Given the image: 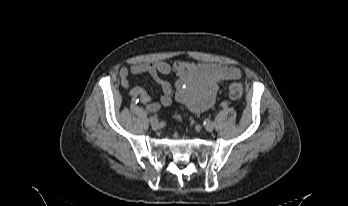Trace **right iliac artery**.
I'll return each instance as SVG.
<instances>
[{"label": "right iliac artery", "instance_id": "obj_1", "mask_svg": "<svg viewBox=\"0 0 348 206\" xmlns=\"http://www.w3.org/2000/svg\"><path fill=\"white\" fill-rule=\"evenodd\" d=\"M140 102V99L138 97H133V103L138 104Z\"/></svg>", "mask_w": 348, "mask_h": 206}]
</instances>
